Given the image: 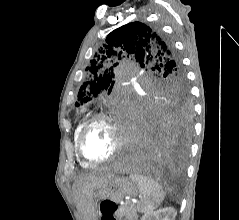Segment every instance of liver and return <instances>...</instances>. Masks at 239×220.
I'll use <instances>...</instances> for the list:
<instances>
[{
  "label": "liver",
  "instance_id": "liver-1",
  "mask_svg": "<svg viewBox=\"0 0 239 220\" xmlns=\"http://www.w3.org/2000/svg\"><path fill=\"white\" fill-rule=\"evenodd\" d=\"M112 174L105 175H85L79 178L74 184V197L77 207L81 210L85 217L91 215L94 211L93 196L94 191L105 186Z\"/></svg>",
  "mask_w": 239,
  "mask_h": 220
}]
</instances>
